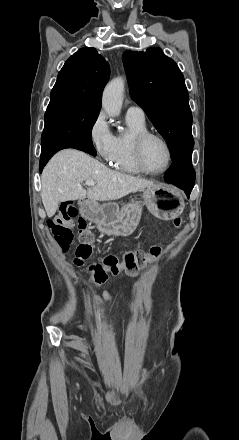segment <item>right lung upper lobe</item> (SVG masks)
<instances>
[{
	"label": "right lung upper lobe",
	"instance_id": "right-lung-upper-lobe-1",
	"mask_svg": "<svg viewBox=\"0 0 239 440\" xmlns=\"http://www.w3.org/2000/svg\"><path fill=\"white\" fill-rule=\"evenodd\" d=\"M110 77L108 62L95 48L79 49L64 64L51 91L52 105L99 112L100 98Z\"/></svg>",
	"mask_w": 239,
	"mask_h": 440
}]
</instances>
